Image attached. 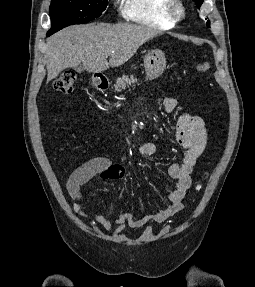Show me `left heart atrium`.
<instances>
[{
  "label": "left heart atrium",
  "mask_w": 255,
  "mask_h": 287,
  "mask_svg": "<svg viewBox=\"0 0 255 287\" xmlns=\"http://www.w3.org/2000/svg\"><path fill=\"white\" fill-rule=\"evenodd\" d=\"M125 33H136V32H125ZM120 39H136V38H120ZM124 48H133V47H124Z\"/></svg>",
  "instance_id": "obj_1"
}]
</instances>
